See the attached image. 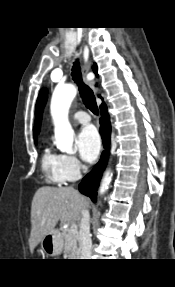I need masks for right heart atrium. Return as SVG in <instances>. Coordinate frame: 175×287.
<instances>
[{"label": "right heart atrium", "instance_id": "1", "mask_svg": "<svg viewBox=\"0 0 175 287\" xmlns=\"http://www.w3.org/2000/svg\"><path fill=\"white\" fill-rule=\"evenodd\" d=\"M82 170L80 161L70 154H61V171L64 181H72L79 177Z\"/></svg>", "mask_w": 175, "mask_h": 287}]
</instances>
